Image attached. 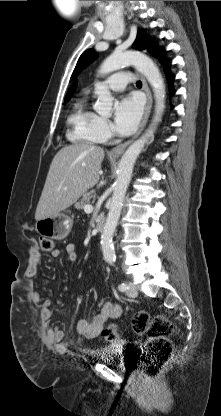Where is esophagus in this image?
I'll return each instance as SVG.
<instances>
[{"instance_id":"esophagus-1","label":"esophagus","mask_w":221,"mask_h":416,"mask_svg":"<svg viewBox=\"0 0 221 416\" xmlns=\"http://www.w3.org/2000/svg\"><path fill=\"white\" fill-rule=\"evenodd\" d=\"M140 78H141V81H142V84H143V90L145 91L146 96H147V103H146V106H145V112H144V116H143L142 122L140 124L139 130L136 132V134L131 139L127 140L124 143L119 144L118 146L114 147L110 151L109 154L112 157H119L125 151L126 147L135 138H137L141 134V132L143 131V129L146 126V123L148 121V118H149V115H150V112H151V108H152L153 99H152V94H151V92L149 90V87L147 85V82H146L145 78L142 75H140Z\"/></svg>"}]
</instances>
